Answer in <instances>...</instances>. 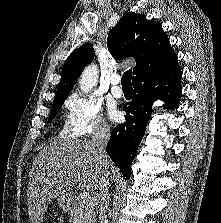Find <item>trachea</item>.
<instances>
[{
  "label": "trachea",
  "mask_w": 221,
  "mask_h": 223,
  "mask_svg": "<svg viewBox=\"0 0 221 223\" xmlns=\"http://www.w3.org/2000/svg\"><path fill=\"white\" fill-rule=\"evenodd\" d=\"M132 71L128 70L122 75L121 85L123 88H132L131 83Z\"/></svg>",
  "instance_id": "obj_1"
}]
</instances>
